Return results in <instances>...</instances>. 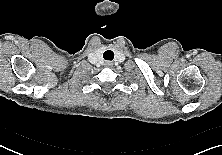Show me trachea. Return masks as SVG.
<instances>
[{"instance_id":"1","label":"trachea","mask_w":222,"mask_h":155,"mask_svg":"<svg viewBox=\"0 0 222 155\" xmlns=\"http://www.w3.org/2000/svg\"><path fill=\"white\" fill-rule=\"evenodd\" d=\"M103 58H104L105 60H109V61L113 60V59H114V53H113V51H111V50L105 51L104 54H103Z\"/></svg>"}]
</instances>
